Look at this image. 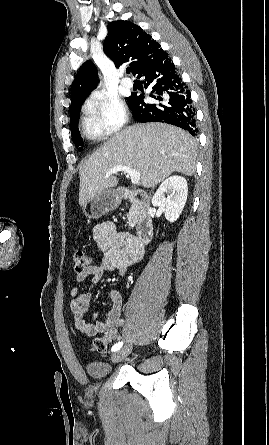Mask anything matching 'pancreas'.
<instances>
[{
  "label": "pancreas",
  "mask_w": 269,
  "mask_h": 445,
  "mask_svg": "<svg viewBox=\"0 0 269 445\" xmlns=\"http://www.w3.org/2000/svg\"><path fill=\"white\" fill-rule=\"evenodd\" d=\"M140 217V209L138 204L133 203L131 205V208L127 214V219H128V225L133 228L136 223L138 222V219Z\"/></svg>",
  "instance_id": "pancreas-1"
}]
</instances>
